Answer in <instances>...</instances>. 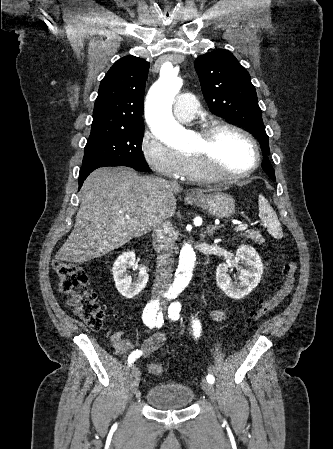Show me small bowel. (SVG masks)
<instances>
[{
  "label": "small bowel",
  "mask_w": 333,
  "mask_h": 449,
  "mask_svg": "<svg viewBox=\"0 0 333 449\" xmlns=\"http://www.w3.org/2000/svg\"><path fill=\"white\" fill-rule=\"evenodd\" d=\"M213 316L216 319H221L224 316V312L222 310H215L213 311ZM165 338L163 334L156 333L152 335L151 337L147 338L141 345V352L143 354H148L150 352H153L164 344ZM111 343L115 350V352L119 355L131 352L135 349L134 343L125 335L124 332H116L111 337Z\"/></svg>",
  "instance_id": "c3829d8e"
}]
</instances>
